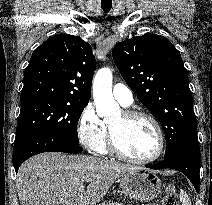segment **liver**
<instances>
[{
	"mask_svg": "<svg viewBox=\"0 0 212 205\" xmlns=\"http://www.w3.org/2000/svg\"><path fill=\"white\" fill-rule=\"evenodd\" d=\"M137 169L84 155L46 152L24 162L17 174L21 205H96L124 173ZM89 182L85 194L81 185Z\"/></svg>",
	"mask_w": 212,
	"mask_h": 205,
	"instance_id": "1",
	"label": "liver"
}]
</instances>
